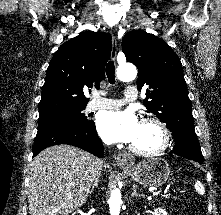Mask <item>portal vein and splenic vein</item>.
<instances>
[{"label":"portal vein and splenic vein","mask_w":221,"mask_h":215,"mask_svg":"<svg viewBox=\"0 0 221 215\" xmlns=\"http://www.w3.org/2000/svg\"><path fill=\"white\" fill-rule=\"evenodd\" d=\"M157 194H154L153 196H156ZM161 196H163V197H167L168 196V194L167 193H164V195L163 194H161Z\"/></svg>","instance_id":"obj_1"}]
</instances>
